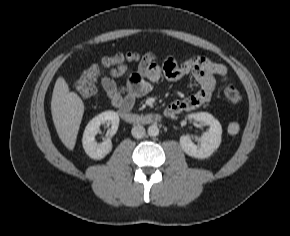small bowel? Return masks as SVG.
<instances>
[{
    "label": "small bowel",
    "instance_id": "c3829d8e",
    "mask_svg": "<svg viewBox=\"0 0 290 236\" xmlns=\"http://www.w3.org/2000/svg\"><path fill=\"white\" fill-rule=\"evenodd\" d=\"M126 71L127 65L108 69L107 76L100 82L110 104L120 112H129L135 100L149 93L152 86L162 78L179 81L192 76L198 86L197 90L186 99L171 102L165 109L167 116L197 109L208 102L218 84L216 77L220 78L222 84L228 81L226 66L204 55H195L178 63L172 56H167L160 61L155 53L147 52L127 84L120 87L116 79Z\"/></svg>",
    "mask_w": 290,
    "mask_h": 236
}]
</instances>
